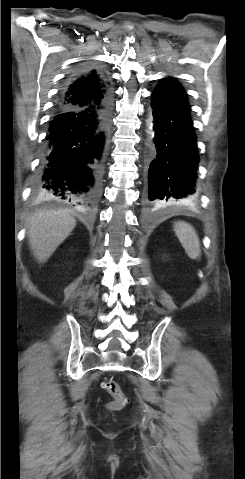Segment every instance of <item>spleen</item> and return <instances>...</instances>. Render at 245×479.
I'll return each mask as SVG.
<instances>
[{"mask_svg": "<svg viewBox=\"0 0 245 479\" xmlns=\"http://www.w3.org/2000/svg\"><path fill=\"white\" fill-rule=\"evenodd\" d=\"M174 231L188 257L192 260L199 258L200 241L194 228L187 222L177 221L174 224Z\"/></svg>", "mask_w": 245, "mask_h": 479, "instance_id": "3e777b00", "label": "spleen"}]
</instances>
